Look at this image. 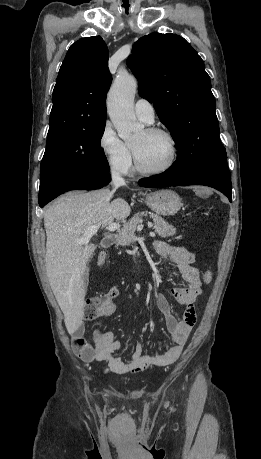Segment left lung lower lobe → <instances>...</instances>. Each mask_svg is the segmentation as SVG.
<instances>
[{"mask_svg":"<svg viewBox=\"0 0 261 459\" xmlns=\"http://www.w3.org/2000/svg\"><path fill=\"white\" fill-rule=\"evenodd\" d=\"M139 185L142 187L206 185L219 190L230 201L232 199L230 171L226 159L201 164L184 174L170 167L162 174L140 181Z\"/></svg>","mask_w":261,"mask_h":459,"instance_id":"obj_1","label":"left lung lower lobe"}]
</instances>
